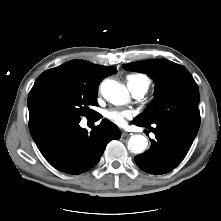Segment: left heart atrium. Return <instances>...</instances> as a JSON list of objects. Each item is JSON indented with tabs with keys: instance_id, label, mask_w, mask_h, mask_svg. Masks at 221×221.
Here are the masks:
<instances>
[{
	"instance_id": "left-heart-atrium-1",
	"label": "left heart atrium",
	"mask_w": 221,
	"mask_h": 221,
	"mask_svg": "<svg viewBox=\"0 0 221 221\" xmlns=\"http://www.w3.org/2000/svg\"><path fill=\"white\" fill-rule=\"evenodd\" d=\"M106 117L113 123L123 126L126 123V119L130 117V114L126 111H110L106 114Z\"/></svg>"
}]
</instances>
